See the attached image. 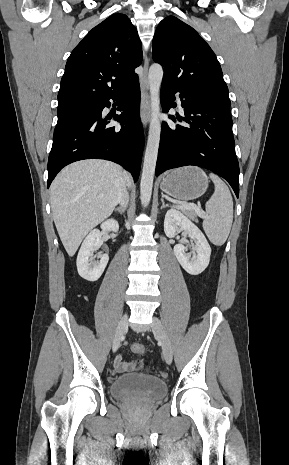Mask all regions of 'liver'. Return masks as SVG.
Returning <instances> with one entry per match:
<instances>
[{"label": "liver", "mask_w": 289, "mask_h": 465, "mask_svg": "<svg viewBox=\"0 0 289 465\" xmlns=\"http://www.w3.org/2000/svg\"><path fill=\"white\" fill-rule=\"evenodd\" d=\"M122 181L132 185L130 174L119 165L97 159L72 163L56 176L50 187L51 210L69 256L89 231L112 214Z\"/></svg>", "instance_id": "6515ba94"}]
</instances>
